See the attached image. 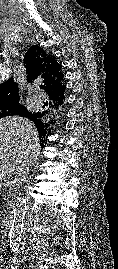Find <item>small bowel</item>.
Listing matches in <instances>:
<instances>
[{
    "label": "small bowel",
    "instance_id": "c3829d8e",
    "mask_svg": "<svg viewBox=\"0 0 118 269\" xmlns=\"http://www.w3.org/2000/svg\"><path fill=\"white\" fill-rule=\"evenodd\" d=\"M1 262H2V258L0 257V263ZM0 269H7V268H5V267H3V266L0 265Z\"/></svg>",
    "mask_w": 118,
    "mask_h": 269
}]
</instances>
